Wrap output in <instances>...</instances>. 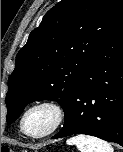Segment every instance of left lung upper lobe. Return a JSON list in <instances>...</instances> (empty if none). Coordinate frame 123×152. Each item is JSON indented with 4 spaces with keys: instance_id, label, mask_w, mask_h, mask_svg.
<instances>
[{
    "instance_id": "left-lung-upper-lobe-1",
    "label": "left lung upper lobe",
    "mask_w": 123,
    "mask_h": 152,
    "mask_svg": "<svg viewBox=\"0 0 123 152\" xmlns=\"http://www.w3.org/2000/svg\"><path fill=\"white\" fill-rule=\"evenodd\" d=\"M121 6V0H62L45 14L8 79V124L33 101L53 100L65 108Z\"/></svg>"
}]
</instances>
